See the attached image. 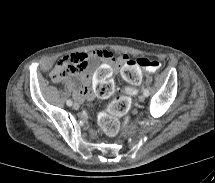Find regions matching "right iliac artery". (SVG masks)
<instances>
[{
    "label": "right iliac artery",
    "instance_id": "1",
    "mask_svg": "<svg viewBox=\"0 0 215 183\" xmlns=\"http://www.w3.org/2000/svg\"><path fill=\"white\" fill-rule=\"evenodd\" d=\"M66 104H67L68 106H72L73 102H72L71 100H67Z\"/></svg>",
    "mask_w": 215,
    "mask_h": 183
}]
</instances>
